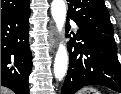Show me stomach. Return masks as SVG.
<instances>
[{
  "label": "stomach",
  "mask_w": 121,
  "mask_h": 94,
  "mask_svg": "<svg viewBox=\"0 0 121 94\" xmlns=\"http://www.w3.org/2000/svg\"><path fill=\"white\" fill-rule=\"evenodd\" d=\"M79 94H100V93L94 88H84L79 92Z\"/></svg>",
  "instance_id": "obj_1"
}]
</instances>
